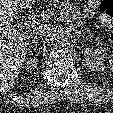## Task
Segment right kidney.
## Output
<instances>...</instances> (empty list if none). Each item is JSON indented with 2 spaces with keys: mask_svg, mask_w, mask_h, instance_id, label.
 Instances as JSON below:
<instances>
[{
  "mask_svg": "<svg viewBox=\"0 0 113 113\" xmlns=\"http://www.w3.org/2000/svg\"><path fill=\"white\" fill-rule=\"evenodd\" d=\"M36 66V63H35V60H30L27 62L26 66L24 67L25 70L28 72V73H31L32 72V69Z\"/></svg>",
  "mask_w": 113,
  "mask_h": 113,
  "instance_id": "obj_1",
  "label": "right kidney"
}]
</instances>
